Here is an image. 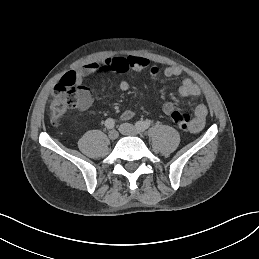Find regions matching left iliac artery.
<instances>
[{"instance_id": "1", "label": "left iliac artery", "mask_w": 259, "mask_h": 259, "mask_svg": "<svg viewBox=\"0 0 259 259\" xmlns=\"http://www.w3.org/2000/svg\"><path fill=\"white\" fill-rule=\"evenodd\" d=\"M151 125L150 121H138L136 122L135 126L139 132H144L146 129H148Z\"/></svg>"}]
</instances>
